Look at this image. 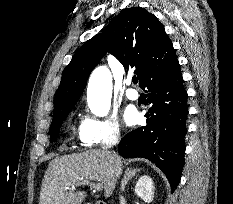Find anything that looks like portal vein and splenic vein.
<instances>
[{"instance_id": "18ae733b", "label": "portal vein and splenic vein", "mask_w": 233, "mask_h": 204, "mask_svg": "<svg viewBox=\"0 0 233 204\" xmlns=\"http://www.w3.org/2000/svg\"><path fill=\"white\" fill-rule=\"evenodd\" d=\"M85 184L89 185L95 191H102V189H103L102 184H100V183H91L88 180H83V179L78 181L77 183L73 184L72 188L77 187V186H81V185H85Z\"/></svg>"}]
</instances>
